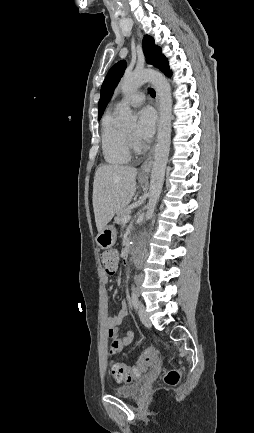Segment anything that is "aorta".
Masks as SVG:
<instances>
[{
	"label": "aorta",
	"mask_w": 254,
	"mask_h": 433,
	"mask_svg": "<svg viewBox=\"0 0 254 433\" xmlns=\"http://www.w3.org/2000/svg\"><path fill=\"white\" fill-rule=\"evenodd\" d=\"M151 82L154 86L160 108V119L158 126V138L155 147L154 163L151 170L149 202L147 204L146 219L152 217L160 197L166 165L170 151L171 118H172V93L171 87L165 76L154 70H135L126 72L121 81V90L128 94L144 83ZM137 116L133 114L130 107L124 106L120 110V120L125 125H133Z\"/></svg>",
	"instance_id": "762f6f07"
}]
</instances>
